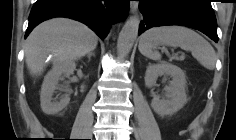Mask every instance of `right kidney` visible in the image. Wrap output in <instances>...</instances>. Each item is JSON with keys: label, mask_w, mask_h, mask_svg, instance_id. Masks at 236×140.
<instances>
[{"label": "right kidney", "mask_w": 236, "mask_h": 140, "mask_svg": "<svg viewBox=\"0 0 236 140\" xmlns=\"http://www.w3.org/2000/svg\"><path fill=\"white\" fill-rule=\"evenodd\" d=\"M75 68L76 64L73 61L57 63L45 76L40 94L41 108L45 114H57L68 105L70 101L68 94L63 95L59 101L53 100L52 96L54 91L58 89L59 80L69 77Z\"/></svg>", "instance_id": "1"}]
</instances>
